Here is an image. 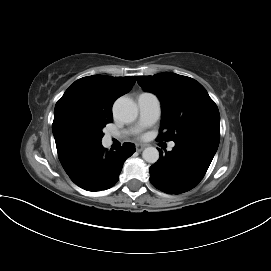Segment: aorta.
I'll use <instances>...</instances> for the list:
<instances>
[{"mask_svg":"<svg viewBox=\"0 0 271 271\" xmlns=\"http://www.w3.org/2000/svg\"><path fill=\"white\" fill-rule=\"evenodd\" d=\"M113 113L118 120L130 123L137 118L138 108L130 98L120 97L114 103ZM142 157L148 163H156L159 159V151L155 147H147L144 149Z\"/></svg>","mask_w":271,"mask_h":271,"instance_id":"obj_1","label":"aorta"}]
</instances>
